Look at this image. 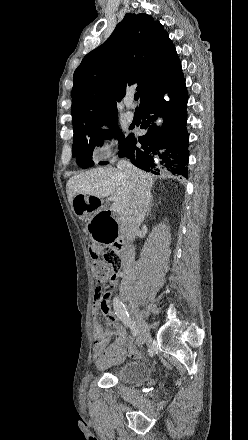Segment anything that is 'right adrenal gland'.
I'll return each instance as SVG.
<instances>
[{"instance_id":"1","label":"right adrenal gland","mask_w":248,"mask_h":440,"mask_svg":"<svg viewBox=\"0 0 248 440\" xmlns=\"http://www.w3.org/2000/svg\"><path fill=\"white\" fill-rule=\"evenodd\" d=\"M151 207H152V199H151L150 207L148 208V215H149L150 212H151Z\"/></svg>"}]
</instances>
